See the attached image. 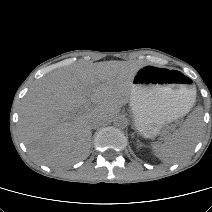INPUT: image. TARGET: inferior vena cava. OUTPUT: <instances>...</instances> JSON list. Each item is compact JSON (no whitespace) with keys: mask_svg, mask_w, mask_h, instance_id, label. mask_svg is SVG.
Instances as JSON below:
<instances>
[{"mask_svg":"<svg viewBox=\"0 0 212 212\" xmlns=\"http://www.w3.org/2000/svg\"><path fill=\"white\" fill-rule=\"evenodd\" d=\"M100 119H98V118H95V119H93L92 121H91V127H93V126H95V125H97V124H99L100 123Z\"/></svg>","mask_w":212,"mask_h":212,"instance_id":"602c4592","label":"inferior vena cava"}]
</instances>
